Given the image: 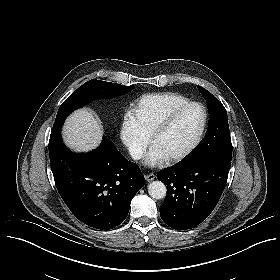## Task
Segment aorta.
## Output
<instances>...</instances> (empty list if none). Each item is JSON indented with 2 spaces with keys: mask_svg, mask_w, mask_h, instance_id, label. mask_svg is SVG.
I'll use <instances>...</instances> for the list:
<instances>
[{
  "mask_svg": "<svg viewBox=\"0 0 280 280\" xmlns=\"http://www.w3.org/2000/svg\"><path fill=\"white\" fill-rule=\"evenodd\" d=\"M166 186L160 181H152L148 185V193L155 199H162L166 196Z\"/></svg>",
  "mask_w": 280,
  "mask_h": 280,
  "instance_id": "1",
  "label": "aorta"
}]
</instances>
